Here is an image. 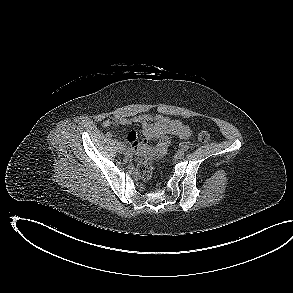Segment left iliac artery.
Returning a JSON list of instances; mask_svg holds the SVG:
<instances>
[{
	"label": "left iliac artery",
	"instance_id": "obj_1",
	"mask_svg": "<svg viewBox=\"0 0 293 293\" xmlns=\"http://www.w3.org/2000/svg\"><path fill=\"white\" fill-rule=\"evenodd\" d=\"M180 149H181L182 151H187V150H188V145H186L185 143H181V144H180Z\"/></svg>",
	"mask_w": 293,
	"mask_h": 293
}]
</instances>
